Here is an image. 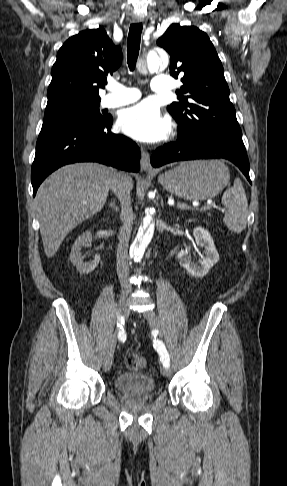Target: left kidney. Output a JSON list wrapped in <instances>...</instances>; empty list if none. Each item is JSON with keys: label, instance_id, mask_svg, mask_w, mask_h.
<instances>
[{"label": "left kidney", "instance_id": "obj_1", "mask_svg": "<svg viewBox=\"0 0 287 486\" xmlns=\"http://www.w3.org/2000/svg\"><path fill=\"white\" fill-rule=\"evenodd\" d=\"M193 235L196 244L205 249V257L201 259L200 265L191 262L187 250H181L178 253V261L186 271L197 278H203L209 270L218 262L219 254L214 245V241L210 233L203 227H195Z\"/></svg>", "mask_w": 287, "mask_h": 486}]
</instances>
